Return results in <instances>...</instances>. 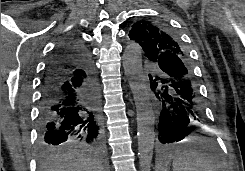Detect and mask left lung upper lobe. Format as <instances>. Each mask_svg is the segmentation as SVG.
<instances>
[{
	"label": "left lung upper lobe",
	"mask_w": 245,
	"mask_h": 171,
	"mask_svg": "<svg viewBox=\"0 0 245 171\" xmlns=\"http://www.w3.org/2000/svg\"><path fill=\"white\" fill-rule=\"evenodd\" d=\"M129 37L142 47L147 58L154 63L165 54H173L187 61L178 35L164 21L139 20L132 25Z\"/></svg>",
	"instance_id": "obj_1"
}]
</instances>
